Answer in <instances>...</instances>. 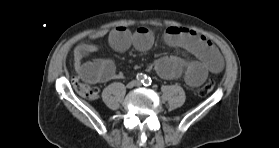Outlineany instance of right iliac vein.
Returning a JSON list of instances; mask_svg holds the SVG:
<instances>
[{"label": "right iliac vein", "instance_id": "63e3f726", "mask_svg": "<svg viewBox=\"0 0 279 148\" xmlns=\"http://www.w3.org/2000/svg\"><path fill=\"white\" fill-rule=\"evenodd\" d=\"M133 86H134V82H130V83L127 84L128 88H132Z\"/></svg>", "mask_w": 279, "mask_h": 148}]
</instances>
